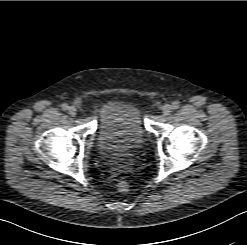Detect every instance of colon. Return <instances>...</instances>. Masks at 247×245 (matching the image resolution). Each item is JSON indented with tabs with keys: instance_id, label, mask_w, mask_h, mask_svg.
<instances>
[{
	"instance_id": "obj_1",
	"label": "colon",
	"mask_w": 247,
	"mask_h": 245,
	"mask_svg": "<svg viewBox=\"0 0 247 245\" xmlns=\"http://www.w3.org/2000/svg\"><path fill=\"white\" fill-rule=\"evenodd\" d=\"M117 188L120 192L126 193L129 191V184L126 181L121 180L118 182Z\"/></svg>"
}]
</instances>
